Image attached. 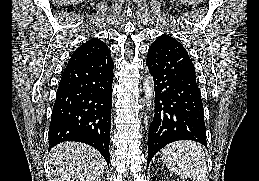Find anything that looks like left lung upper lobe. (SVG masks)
<instances>
[{"mask_svg": "<svg viewBox=\"0 0 259 181\" xmlns=\"http://www.w3.org/2000/svg\"><path fill=\"white\" fill-rule=\"evenodd\" d=\"M162 36H166V35H162ZM162 36H160V37H162ZM188 63L190 64V70H191L192 74H193L194 76H196V75H195L194 65H193V63H192L190 57H188Z\"/></svg>", "mask_w": 259, "mask_h": 181, "instance_id": "1", "label": "left lung upper lobe"}]
</instances>
